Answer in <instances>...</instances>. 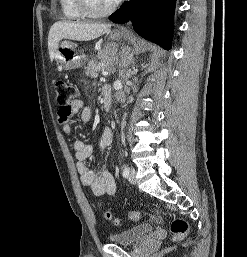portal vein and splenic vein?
I'll return each instance as SVG.
<instances>
[{"label": "portal vein and splenic vein", "instance_id": "18ae733b", "mask_svg": "<svg viewBox=\"0 0 247 257\" xmlns=\"http://www.w3.org/2000/svg\"><path fill=\"white\" fill-rule=\"evenodd\" d=\"M108 74H109L108 72H103L102 73L103 76H108Z\"/></svg>", "mask_w": 247, "mask_h": 257}]
</instances>
